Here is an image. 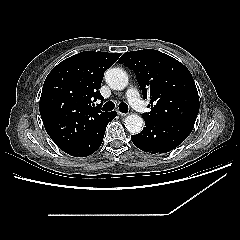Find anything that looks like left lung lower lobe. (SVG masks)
Returning <instances> with one entry per match:
<instances>
[{
    "instance_id": "left-lung-lower-lobe-1",
    "label": "left lung lower lobe",
    "mask_w": 240,
    "mask_h": 240,
    "mask_svg": "<svg viewBox=\"0 0 240 240\" xmlns=\"http://www.w3.org/2000/svg\"><path fill=\"white\" fill-rule=\"evenodd\" d=\"M145 120L143 131L131 135L132 142L144 152L165 153L180 145L191 133L195 122L190 120Z\"/></svg>"
}]
</instances>
